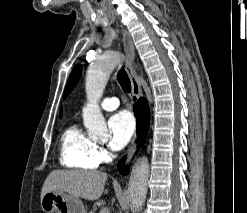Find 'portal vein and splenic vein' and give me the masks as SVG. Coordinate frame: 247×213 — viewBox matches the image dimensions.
<instances>
[{
    "label": "portal vein and splenic vein",
    "mask_w": 247,
    "mask_h": 213,
    "mask_svg": "<svg viewBox=\"0 0 247 213\" xmlns=\"http://www.w3.org/2000/svg\"><path fill=\"white\" fill-rule=\"evenodd\" d=\"M100 213H110V211H109L108 208L103 207V208L100 210Z\"/></svg>",
    "instance_id": "obj_1"
}]
</instances>
